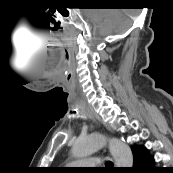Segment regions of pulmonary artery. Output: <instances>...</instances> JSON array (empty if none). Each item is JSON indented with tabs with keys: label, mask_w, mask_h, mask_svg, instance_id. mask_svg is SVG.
I'll return each instance as SVG.
<instances>
[{
	"label": "pulmonary artery",
	"mask_w": 173,
	"mask_h": 173,
	"mask_svg": "<svg viewBox=\"0 0 173 173\" xmlns=\"http://www.w3.org/2000/svg\"><path fill=\"white\" fill-rule=\"evenodd\" d=\"M75 165L90 167V166H97L100 164V161L95 158H85L79 161L74 162Z\"/></svg>",
	"instance_id": "obj_1"
}]
</instances>
